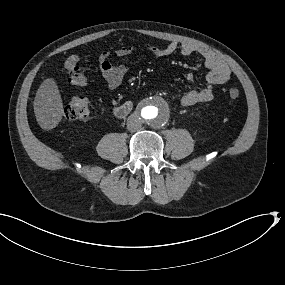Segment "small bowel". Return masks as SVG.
<instances>
[{"label":"small bowel","mask_w":285,"mask_h":285,"mask_svg":"<svg viewBox=\"0 0 285 285\" xmlns=\"http://www.w3.org/2000/svg\"><path fill=\"white\" fill-rule=\"evenodd\" d=\"M146 49L156 58L165 57L176 52L184 56L198 55L202 58L208 73L206 84L203 87L195 88L184 94L181 98V105L184 107L199 103L210 102L214 98V90L217 86L224 84L230 75L225 62L211 50L192 43L171 42L164 47L146 45ZM136 51L131 45H124L115 50L117 56H129ZM111 53L103 51L98 57V65L101 69L105 82L110 90H115L123 83L128 69L124 65L113 64L110 61ZM193 77L189 82L193 83Z\"/></svg>","instance_id":"1"}]
</instances>
